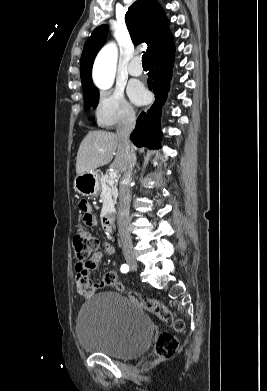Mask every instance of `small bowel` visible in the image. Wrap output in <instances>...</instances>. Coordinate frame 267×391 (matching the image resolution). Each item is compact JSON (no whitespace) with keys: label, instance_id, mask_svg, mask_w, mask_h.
I'll use <instances>...</instances> for the list:
<instances>
[{"label":"small bowel","instance_id":"1","mask_svg":"<svg viewBox=\"0 0 267 391\" xmlns=\"http://www.w3.org/2000/svg\"><path fill=\"white\" fill-rule=\"evenodd\" d=\"M78 208L81 212H83V223L87 226H95L97 224L96 217L92 213V209L90 204L86 200H81L78 204ZM114 247L110 244H106L103 251L96 253L90 263L80 264L77 263L75 265L76 271V287L78 293L88 298L94 293H96L99 289L109 286L107 277L109 273H105L102 276V279L99 282L92 283L89 281L90 274L97 270L100 259L103 254H113Z\"/></svg>","mask_w":267,"mask_h":391}]
</instances>
